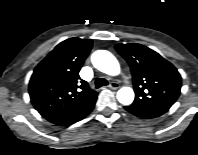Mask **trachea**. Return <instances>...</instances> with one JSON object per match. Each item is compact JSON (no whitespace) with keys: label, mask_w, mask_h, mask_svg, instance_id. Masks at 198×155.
Segmentation results:
<instances>
[{"label":"trachea","mask_w":198,"mask_h":155,"mask_svg":"<svg viewBox=\"0 0 198 155\" xmlns=\"http://www.w3.org/2000/svg\"><path fill=\"white\" fill-rule=\"evenodd\" d=\"M106 85H108V81L104 78H98L95 81V86H96L97 89L102 87V86H106Z\"/></svg>","instance_id":"3493384b"}]
</instances>
